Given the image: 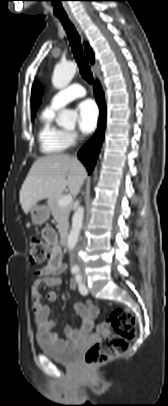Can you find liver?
Segmentation results:
<instances>
[{"label": "liver", "instance_id": "liver-1", "mask_svg": "<svg viewBox=\"0 0 168 406\" xmlns=\"http://www.w3.org/2000/svg\"><path fill=\"white\" fill-rule=\"evenodd\" d=\"M87 176L77 158L65 154H51L37 159L20 190V204L27 214L37 202L60 196L68 186L77 195Z\"/></svg>", "mask_w": 168, "mask_h": 406}]
</instances>
